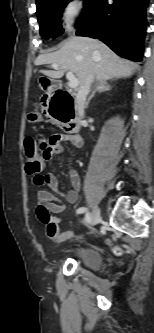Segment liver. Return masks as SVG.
I'll list each match as a JSON object with an SVG mask.
<instances>
[{
  "label": "liver",
  "mask_w": 154,
  "mask_h": 333,
  "mask_svg": "<svg viewBox=\"0 0 154 333\" xmlns=\"http://www.w3.org/2000/svg\"><path fill=\"white\" fill-rule=\"evenodd\" d=\"M54 63L59 65L58 69L41 72L48 77L59 79L66 71H71L76 75L80 86L91 72L97 81H106L130 77L138 67L137 64L117 56L99 40L76 36L65 40L59 50L39 55L35 60V65Z\"/></svg>",
  "instance_id": "obj_1"
}]
</instances>
